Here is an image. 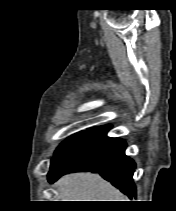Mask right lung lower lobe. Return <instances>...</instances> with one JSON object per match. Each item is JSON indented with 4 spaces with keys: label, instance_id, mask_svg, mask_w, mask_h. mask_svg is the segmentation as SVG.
I'll return each mask as SVG.
<instances>
[{
    "label": "right lung lower lobe",
    "instance_id": "right-lung-lower-lobe-1",
    "mask_svg": "<svg viewBox=\"0 0 176 211\" xmlns=\"http://www.w3.org/2000/svg\"><path fill=\"white\" fill-rule=\"evenodd\" d=\"M110 125L89 131L83 138L66 150L51 164L48 181L54 182L64 174L76 171L98 172L124 194L136 197L133 183L135 163L125 155L126 142L110 138Z\"/></svg>",
    "mask_w": 176,
    "mask_h": 211
}]
</instances>
